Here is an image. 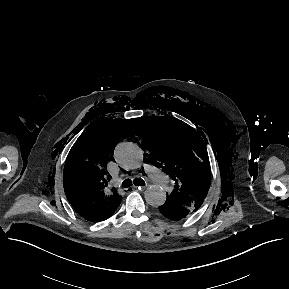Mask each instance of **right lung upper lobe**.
<instances>
[{
  "label": "right lung upper lobe",
  "instance_id": "obj_1",
  "mask_svg": "<svg viewBox=\"0 0 289 289\" xmlns=\"http://www.w3.org/2000/svg\"><path fill=\"white\" fill-rule=\"evenodd\" d=\"M129 120L115 119L94 125L75 143L64 167V190L69 203L84 219L100 222L113 215L122 197L106 191L107 161L116 144L131 130Z\"/></svg>",
  "mask_w": 289,
  "mask_h": 289
}]
</instances>
